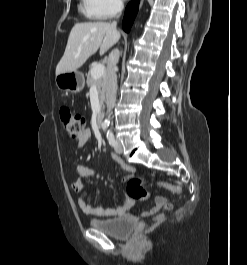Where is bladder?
Returning a JSON list of instances; mask_svg holds the SVG:
<instances>
[{
  "label": "bladder",
  "mask_w": 247,
  "mask_h": 265,
  "mask_svg": "<svg viewBox=\"0 0 247 265\" xmlns=\"http://www.w3.org/2000/svg\"><path fill=\"white\" fill-rule=\"evenodd\" d=\"M89 224L92 228L116 239L127 238L136 227L131 220L125 218L91 219Z\"/></svg>",
  "instance_id": "31cf9c89"
}]
</instances>
